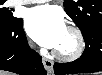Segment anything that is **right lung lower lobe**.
<instances>
[{"label":"right lung lower lobe","mask_w":102,"mask_h":75,"mask_svg":"<svg viewBox=\"0 0 102 75\" xmlns=\"http://www.w3.org/2000/svg\"><path fill=\"white\" fill-rule=\"evenodd\" d=\"M0 70L20 75H46L42 57L28 47L23 20L0 24Z\"/></svg>","instance_id":"obj_1"}]
</instances>
